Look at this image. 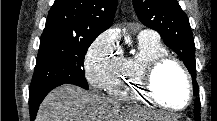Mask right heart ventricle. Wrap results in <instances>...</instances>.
Wrapping results in <instances>:
<instances>
[{
  "mask_svg": "<svg viewBox=\"0 0 217 121\" xmlns=\"http://www.w3.org/2000/svg\"><path fill=\"white\" fill-rule=\"evenodd\" d=\"M138 40V55L122 58L114 75L105 87L107 93L113 98L122 101H148L141 88L143 69L150 61L167 54V50L159 40L140 38Z\"/></svg>",
  "mask_w": 217,
  "mask_h": 121,
  "instance_id": "1",
  "label": "right heart ventricle"
}]
</instances>
